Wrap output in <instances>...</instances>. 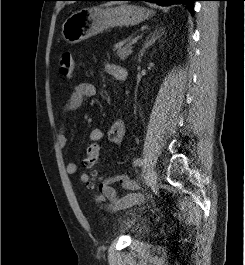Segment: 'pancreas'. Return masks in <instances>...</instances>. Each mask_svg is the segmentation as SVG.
Returning a JSON list of instances; mask_svg holds the SVG:
<instances>
[{
    "instance_id": "obj_1",
    "label": "pancreas",
    "mask_w": 245,
    "mask_h": 265,
    "mask_svg": "<svg viewBox=\"0 0 245 265\" xmlns=\"http://www.w3.org/2000/svg\"><path fill=\"white\" fill-rule=\"evenodd\" d=\"M114 51H116V55L120 58V60L124 61L132 54V46L130 44H126L123 47L115 48Z\"/></svg>"
}]
</instances>
